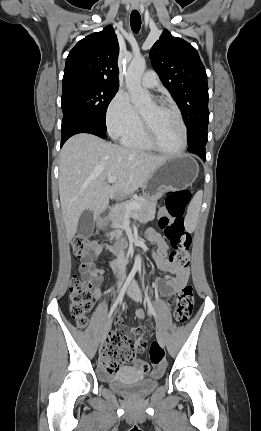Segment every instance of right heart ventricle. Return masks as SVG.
I'll return each mask as SVG.
<instances>
[{
  "label": "right heart ventricle",
  "mask_w": 261,
  "mask_h": 431,
  "mask_svg": "<svg viewBox=\"0 0 261 431\" xmlns=\"http://www.w3.org/2000/svg\"><path fill=\"white\" fill-rule=\"evenodd\" d=\"M122 142L125 146L132 149L143 151H151L154 149L144 135L141 122L137 128L122 138Z\"/></svg>",
  "instance_id": "e07e8e85"
}]
</instances>
